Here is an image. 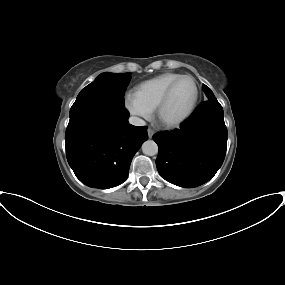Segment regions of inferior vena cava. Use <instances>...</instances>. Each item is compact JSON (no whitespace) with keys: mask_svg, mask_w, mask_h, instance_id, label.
Segmentation results:
<instances>
[{"mask_svg":"<svg viewBox=\"0 0 285 285\" xmlns=\"http://www.w3.org/2000/svg\"><path fill=\"white\" fill-rule=\"evenodd\" d=\"M129 123L134 125V126H144L145 125V121L142 120L141 118L138 117H130L129 118Z\"/></svg>","mask_w":285,"mask_h":285,"instance_id":"obj_1","label":"inferior vena cava"}]
</instances>
